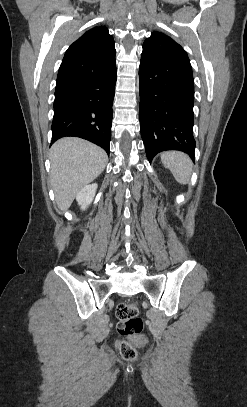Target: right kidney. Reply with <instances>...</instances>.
I'll return each instance as SVG.
<instances>
[{
    "mask_svg": "<svg viewBox=\"0 0 247 407\" xmlns=\"http://www.w3.org/2000/svg\"><path fill=\"white\" fill-rule=\"evenodd\" d=\"M97 184H90L82 188L79 193L76 195V201L78 204L81 206L82 210H85L90 203L92 202L96 190H97Z\"/></svg>",
    "mask_w": 247,
    "mask_h": 407,
    "instance_id": "obj_1",
    "label": "right kidney"
}]
</instances>
